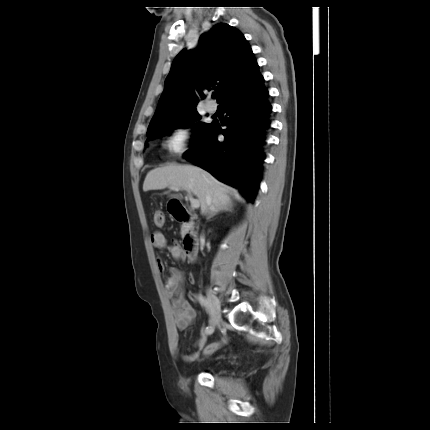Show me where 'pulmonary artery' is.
<instances>
[{"label": "pulmonary artery", "mask_w": 430, "mask_h": 430, "mask_svg": "<svg viewBox=\"0 0 430 430\" xmlns=\"http://www.w3.org/2000/svg\"><path fill=\"white\" fill-rule=\"evenodd\" d=\"M206 109L209 112H215L216 109H217V105L214 102H212V101H208L206 103Z\"/></svg>", "instance_id": "pulmonary-artery-1"}]
</instances>
